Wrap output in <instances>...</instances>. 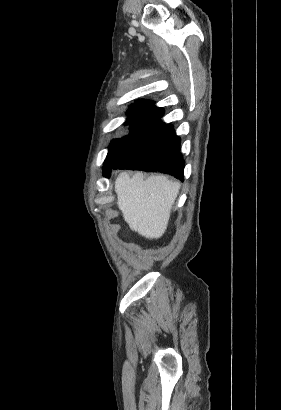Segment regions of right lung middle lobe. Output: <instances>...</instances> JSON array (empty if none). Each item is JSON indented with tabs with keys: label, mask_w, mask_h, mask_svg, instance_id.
Returning <instances> with one entry per match:
<instances>
[{
	"label": "right lung middle lobe",
	"mask_w": 281,
	"mask_h": 410,
	"mask_svg": "<svg viewBox=\"0 0 281 410\" xmlns=\"http://www.w3.org/2000/svg\"><path fill=\"white\" fill-rule=\"evenodd\" d=\"M163 114L162 109L131 106L127 112L128 118L124 125L130 124L132 131L128 136L112 141L103 165V173L111 171L140 140L161 123L160 119Z\"/></svg>",
	"instance_id": "right-lung-middle-lobe-1"
}]
</instances>
